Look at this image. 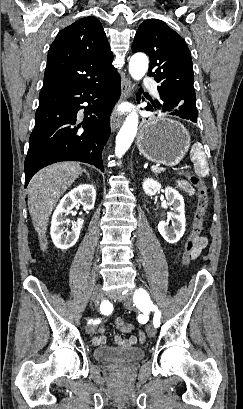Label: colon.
<instances>
[{
  "label": "colon",
  "instance_id": "colon-1",
  "mask_svg": "<svg viewBox=\"0 0 243 409\" xmlns=\"http://www.w3.org/2000/svg\"><path fill=\"white\" fill-rule=\"evenodd\" d=\"M187 178L192 186L197 190L198 203L197 209L193 220L192 230L186 240L184 253H183V263L185 265L189 264L192 260V253L196 248L199 238L201 237L200 233L203 229L205 222L206 210L208 207V194L209 189L204 184L203 180L194 174H187ZM115 324L124 332H130L133 329V326L125 322L122 318L118 317L115 320ZM139 339L141 342H145L146 336L143 332L139 333Z\"/></svg>",
  "mask_w": 243,
  "mask_h": 409
}]
</instances>
